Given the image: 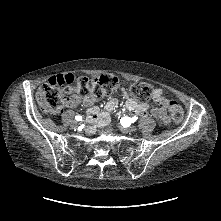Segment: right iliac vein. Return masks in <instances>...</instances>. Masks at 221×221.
<instances>
[{
  "label": "right iliac vein",
  "instance_id": "1",
  "mask_svg": "<svg viewBox=\"0 0 221 221\" xmlns=\"http://www.w3.org/2000/svg\"><path fill=\"white\" fill-rule=\"evenodd\" d=\"M79 126V124L77 123V122H74L73 124H72V127L73 128H77Z\"/></svg>",
  "mask_w": 221,
  "mask_h": 221
}]
</instances>
